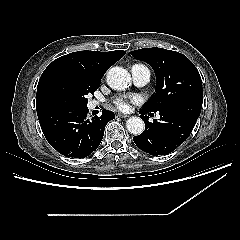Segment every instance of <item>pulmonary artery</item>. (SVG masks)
<instances>
[{
    "mask_svg": "<svg viewBox=\"0 0 240 240\" xmlns=\"http://www.w3.org/2000/svg\"><path fill=\"white\" fill-rule=\"evenodd\" d=\"M130 72L132 79L137 86H144L151 79L150 70L142 64L133 65Z\"/></svg>",
    "mask_w": 240,
    "mask_h": 240,
    "instance_id": "obj_1",
    "label": "pulmonary artery"
}]
</instances>
